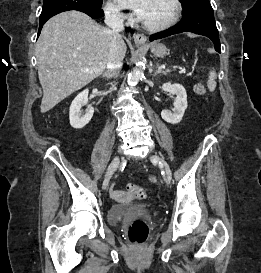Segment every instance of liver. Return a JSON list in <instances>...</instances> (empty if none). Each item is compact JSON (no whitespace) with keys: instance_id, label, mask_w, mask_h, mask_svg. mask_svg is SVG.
<instances>
[{"instance_id":"obj_1","label":"liver","mask_w":261,"mask_h":273,"mask_svg":"<svg viewBox=\"0 0 261 273\" xmlns=\"http://www.w3.org/2000/svg\"><path fill=\"white\" fill-rule=\"evenodd\" d=\"M112 38L110 29L79 11L60 13L45 23L36 44L42 113L102 74ZM118 40L124 57L126 44L122 37Z\"/></svg>"}]
</instances>
